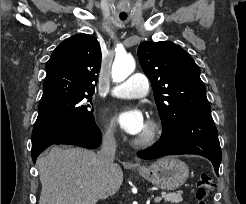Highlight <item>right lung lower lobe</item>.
<instances>
[{
  "label": "right lung lower lobe",
  "instance_id": "obj_1",
  "mask_svg": "<svg viewBox=\"0 0 246 204\" xmlns=\"http://www.w3.org/2000/svg\"><path fill=\"white\" fill-rule=\"evenodd\" d=\"M100 142L101 132L93 121L84 124L41 119L36 121L33 128L31 155L35 162L39 154L53 144H71L94 149Z\"/></svg>",
  "mask_w": 246,
  "mask_h": 204
}]
</instances>
